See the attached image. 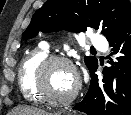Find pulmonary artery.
Listing matches in <instances>:
<instances>
[{
    "label": "pulmonary artery",
    "instance_id": "1",
    "mask_svg": "<svg viewBox=\"0 0 131 115\" xmlns=\"http://www.w3.org/2000/svg\"><path fill=\"white\" fill-rule=\"evenodd\" d=\"M91 40H92V45L95 46L96 48H100L104 51L107 49L106 40L102 35L95 33L92 35ZM43 48L47 50L48 46L45 44Z\"/></svg>",
    "mask_w": 131,
    "mask_h": 115
}]
</instances>
